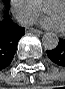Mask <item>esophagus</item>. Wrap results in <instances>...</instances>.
<instances>
[{"label": "esophagus", "instance_id": "esophagus-1", "mask_svg": "<svg viewBox=\"0 0 65 89\" xmlns=\"http://www.w3.org/2000/svg\"><path fill=\"white\" fill-rule=\"evenodd\" d=\"M28 31L34 32V33H36V34H42V33H43L42 31L37 30V29H34V28H29Z\"/></svg>", "mask_w": 65, "mask_h": 89}]
</instances>
